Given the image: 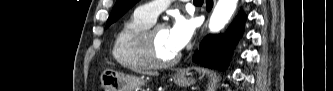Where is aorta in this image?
I'll return each mask as SVG.
<instances>
[{
    "label": "aorta",
    "mask_w": 333,
    "mask_h": 91,
    "mask_svg": "<svg viewBox=\"0 0 333 91\" xmlns=\"http://www.w3.org/2000/svg\"><path fill=\"white\" fill-rule=\"evenodd\" d=\"M238 0H218L209 20V30L219 32L228 23L236 10Z\"/></svg>",
    "instance_id": "aorta-1"
}]
</instances>
